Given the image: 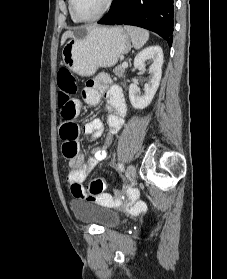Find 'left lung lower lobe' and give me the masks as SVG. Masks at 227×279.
Instances as JSON below:
<instances>
[{
    "instance_id": "0a47b994",
    "label": "left lung lower lobe",
    "mask_w": 227,
    "mask_h": 279,
    "mask_svg": "<svg viewBox=\"0 0 227 279\" xmlns=\"http://www.w3.org/2000/svg\"><path fill=\"white\" fill-rule=\"evenodd\" d=\"M173 2V0H114L109 12L98 23L139 26L159 34L171 46Z\"/></svg>"
}]
</instances>
